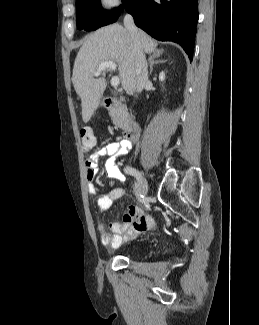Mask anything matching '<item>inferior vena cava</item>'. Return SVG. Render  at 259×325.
Masks as SVG:
<instances>
[{
	"mask_svg": "<svg viewBox=\"0 0 259 325\" xmlns=\"http://www.w3.org/2000/svg\"><path fill=\"white\" fill-rule=\"evenodd\" d=\"M124 26L128 30L133 42V67L136 75V90L141 92L148 82L146 57L139 41L138 29L131 15H125Z\"/></svg>",
	"mask_w": 259,
	"mask_h": 325,
	"instance_id": "602c4592",
	"label": "inferior vena cava"
}]
</instances>
